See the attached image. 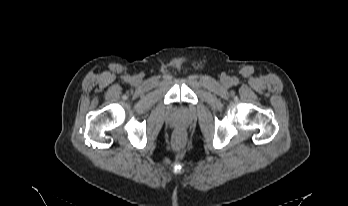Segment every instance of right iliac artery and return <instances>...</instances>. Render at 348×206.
<instances>
[{
    "label": "right iliac artery",
    "instance_id": "1",
    "mask_svg": "<svg viewBox=\"0 0 348 206\" xmlns=\"http://www.w3.org/2000/svg\"><path fill=\"white\" fill-rule=\"evenodd\" d=\"M130 79H131L130 76H127V77L125 78V81H126V82H129Z\"/></svg>",
    "mask_w": 348,
    "mask_h": 206
}]
</instances>
